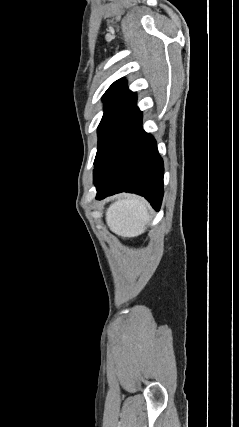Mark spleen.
<instances>
[{"label":"spleen","instance_id":"spleen-1","mask_svg":"<svg viewBox=\"0 0 239 427\" xmlns=\"http://www.w3.org/2000/svg\"><path fill=\"white\" fill-rule=\"evenodd\" d=\"M148 204L137 196H126L111 204L106 212L108 227L122 237H136L149 222Z\"/></svg>","mask_w":239,"mask_h":427}]
</instances>
